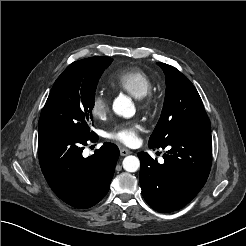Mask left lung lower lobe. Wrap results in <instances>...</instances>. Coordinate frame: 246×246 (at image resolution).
I'll return each instance as SVG.
<instances>
[{
	"label": "left lung lower lobe",
	"mask_w": 246,
	"mask_h": 246,
	"mask_svg": "<svg viewBox=\"0 0 246 246\" xmlns=\"http://www.w3.org/2000/svg\"><path fill=\"white\" fill-rule=\"evenodd\" d=\"M166 147L169 150L163 155V164L148 153H138L142 194L162 213L181 209L204 186L211 168L212 138L211 134L175 136L161 146Z\"/></svg>",
	"instance_id": "left-lung-lower-lobe-1"
}]
</instances>
